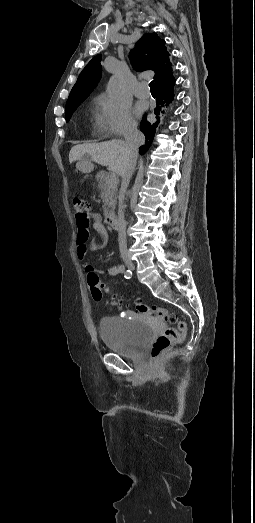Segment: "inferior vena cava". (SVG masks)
I'll return each instance as SVG.
<instances>
[{
	"label": "inferior vena cava",
	"mask_w": 255,
	"mask_h": 523,
	"mask_svg": "<svg viewBox=\"0 0 255 523\" xmlns=\"http://www.w3.org/2000/svg\"><path fill=\"white\" fill-rule=\"evenodd\" d=\"M126 142L125 148L122 152L124 158V168L120 174L122 178L121 188H120V198L123 200L125 192L128 188V184L132 178V174L136 166V158L138 154L139 146H142L145 142V138L142 132L137 130L136 124H130L126 130L125 134ZM117 232H118V242L119 250L121 254H126L127 252V240H126V222L124 218V206L121 204L118 210V220H117Z\"/></svg>",
	"instance_id": "1"
}]
</instances>
